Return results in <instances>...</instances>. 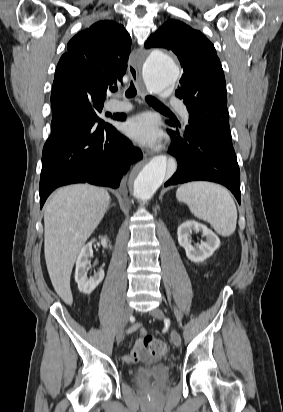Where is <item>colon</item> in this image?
I'll return each mask as SVG.
<instances>
[{"label": "colon", "instance_id": "5ec220e1", "mask_svg": "<svg viewBox=\"0 0 283 412\" xmlns=\"http://www.w3.org/2000/svg\"><path fill=\"white\" fill-rule=\"evenodd\" d=\"M142 342L144 348H146L153 356L162 357L168 352V346L165 342L151 336H144Z\"/></svg>", "mask_w": 283, "mask_h": 412}]
</instances>
